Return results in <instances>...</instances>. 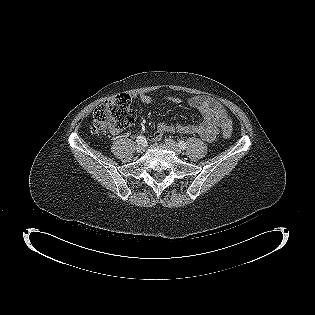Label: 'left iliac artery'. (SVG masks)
Segmentation results:
<instances>
[{"instance_id": "1", "label": "left iliac artery", "mask_w": 315, "mask_h": 315, "mask_svg": "<svg viewBox=\"0 0 315 315\" xmlns=\"http://www.w3.org/2000/svg\"><path fill=\"white\" fill-rule=\"evenodd\" d=\"M178 145H179V147H180L182 150H185L186 147H187V145H186V143H185L184 141H179Z\"/></svg>"}]
</instances>
